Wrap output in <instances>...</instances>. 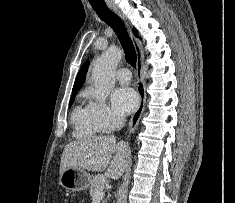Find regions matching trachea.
I'll list each match as a JSON object with an SVG mask.
<instances>
[{
	"mask_svg": "<svg viewBox=\"0 0 235 203\" xmlns=\"http://www.w3.org/2000/svg\"><path fill=\"white\" fill-rule=\"evenodd\" d=\"M92 7L101 20L106 22L114 30L123 47L127 62L133 67H136V50L121 18L113 13L105 3L92 4Z\"/></svg>",
	"mask_w": 235,
	"mask_h": 203,
	"instance_id": "obj_1",
	"label": "trachea"
}]
</instances>
